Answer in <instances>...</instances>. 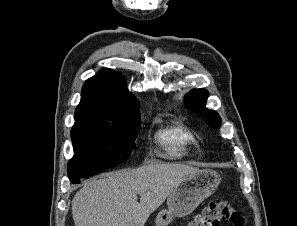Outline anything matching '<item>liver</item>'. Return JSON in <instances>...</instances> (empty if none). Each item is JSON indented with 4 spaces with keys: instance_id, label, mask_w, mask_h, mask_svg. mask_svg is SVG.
Masks as SVG:
<instances>
[{
    "instance_id": "obj_1",
    "label": "liver",
    "mask_w": 297,
    "mask_h": 226,
    "mask_svg": "<svg viewBox=\"0 0 297 226\" xmlns=\"http://www.w3.org/2000/svg\"><path fill=\"white\" fill-rule=\"evenodd\" d=\"M199 171L177 163H150L89 181L72 200L75 226H144L174 187Z\"/></svg>"
}]
</instances>
